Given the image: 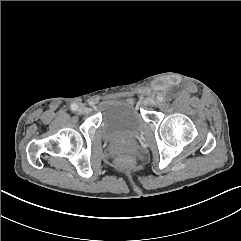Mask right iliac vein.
Returning a JSON list of instances; mask_svg holds the SVG:
<instances>
[{
    "label": "right iliac vein",
    "mask_w": 241,
    "mask_h": 241,
    "mask_svg": "<svg viewBox=\"0 0 241 241\" xmlns=\"http://www.w3.org/2000/svg\"><path fill=\"white\" fill-rule=\"evenodd\" d=\"M78 112L80 114H87V113L90 112V109L88 107L84 106V105H81L78 109Z\"/></svg>",
    "instance_id": "obj_1"
}]
</instances>
